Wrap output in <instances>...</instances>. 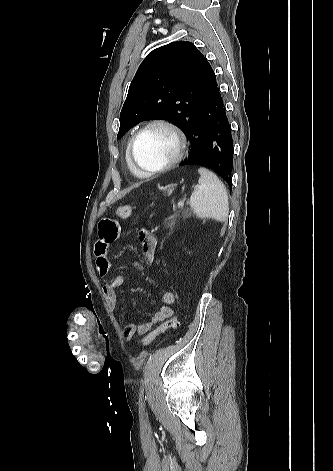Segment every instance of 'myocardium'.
I'll list each match as a JSON object with an SVG mask.
<instances>
[{"label": "myocardium", "instance_id": "f54148a6", "mask_svg": "<svg viewBox=\"0 0 333 471\" xmlns=\"http://www.w3.org/2000/svg\"><path fill=\"white\" fill-rule=\"evenodd\" d=\"M154 126H161L169 130L175 137L176 143H177V150L175 155L173 156L172 159H170L167 163L164 165L155 168V169H145L141 167L138 162L136 161L135 158V146L141 135L146 132L148 129ZM187 149V139L183 131L173 122L163 119V118H156L148 121L145 123L141 128L138 129V131L133 135V137L130 140L129 146H128V158L135 170H137L139 173H141L144 176H152L156 174L163 173L176 164H178Z\"/></svg>", "mask_w": 333, "mask_h": 471}]
</instances>
